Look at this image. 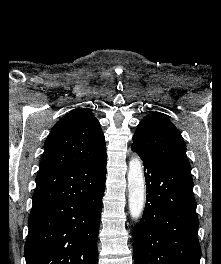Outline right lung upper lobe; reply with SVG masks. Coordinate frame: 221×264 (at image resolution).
<instances>
[{
	"label": "right lung upper lobe",
	"mask_w": 221,
	"mask_h": 264,
	"mask_svg": "<svg viewBox=\"0 0 221 264\" xmlns=\"http://www.w3.org/2000/svg\"><path fill=\"white\" fill-rule=\"evenodd\" d=\"M106 155L105 138L93 113L77 108L53 127L44 143L39 173L86 165Z\"/></svg>",
	"instance_id": "right-lung-upper-lobe-1"
}]
</instances>
